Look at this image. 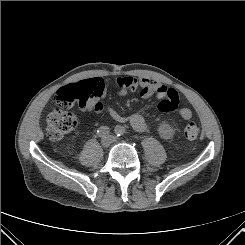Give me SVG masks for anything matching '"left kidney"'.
<instances>
[{"mask_svg": "<svg viewBox=\"0 0 245 245\" xmlns=\"http://www.w3.org/2000/svg\"><path fill=\"white\" fill-rule=\"evenodd\" d=\"M165 131H166V134L169 135V136H171L173 134V131H172V129L169 126L165 127Z\"/></svg>", "mask_w": 245, "mask_h": 245, "instance_id": "5707ae66", "label": "left kidney"}]
</instances>
